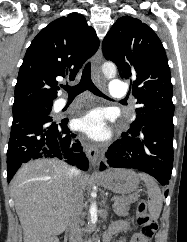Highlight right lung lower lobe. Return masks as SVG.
Wrapping results in <instances>:
<instances>
[{"label":"right lung lower lobe","instance_id":"obj_1","mask_svg":"<svg viewBox=\"0 0 187 242\" xmlns=\"http://www.w3.org/2000/svg\"><path fill=\"white\" fill-rule=\"evenodd\" d=\"M68 119L53 121L50 116L12 123L7 151L8 183L23 163L38 158H59L86 171L89 161L68 126Z\"/></svg>","mask_w":187,"mask_h":242}]
</instances>
